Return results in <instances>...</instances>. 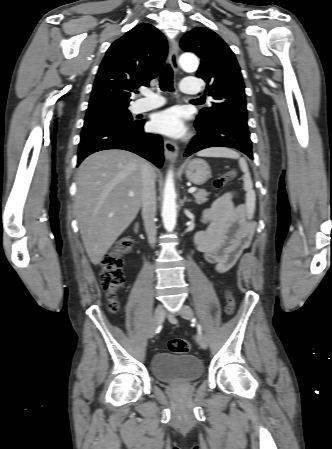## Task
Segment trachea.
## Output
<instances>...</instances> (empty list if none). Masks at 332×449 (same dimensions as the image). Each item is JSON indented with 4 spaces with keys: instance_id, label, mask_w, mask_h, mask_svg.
<instances>
[{
    "instance_id": "obj_1",
    "label": "trachea",
    "mask_w": 332,
    "mask_h": 449,
    "mask_svg": "<svg viewBox=\"0 0 332 449\" xmlns=\"http://www.w3.org/2000/svg\"><path fill=\"white\" fill-rule=\"evenodd\" d=\"M160 89L162 91H173V71L169 65H166L160 75ZM197 101H203L197 99Z\"/></svg>"
}]
</instances>
